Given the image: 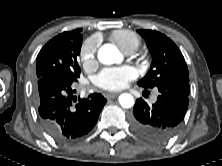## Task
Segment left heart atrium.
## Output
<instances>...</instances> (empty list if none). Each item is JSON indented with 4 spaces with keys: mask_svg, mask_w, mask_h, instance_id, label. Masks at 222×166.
<instances>
[{
    "mask_svg": "<svg viewBox=\"0 0 222 166\" xmlns=\"http://www.w3.org/2000/svg\"><path fill=\"white\" fill-rule=\"evenodd\" d=\"M137 76L131 66L110 67L103 69L94 78V83L108 91H118L125 88Z\"/></svg>",
    "mask_w": 222,
    "mask_h": 166,
    "instance_id": "left-heart-atrium-1",
    "label": "left heart atrium"
}]
</instances>
